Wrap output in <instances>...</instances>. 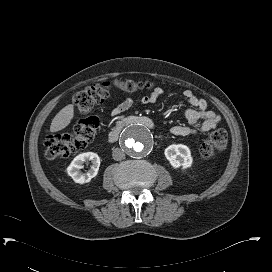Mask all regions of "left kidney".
<instances>
[{
    "instance_id": "1",
    "label": "left kidney",
    "mask_w": 272,
    "mask_h": 272,
    "mask_svg": "<svg viewBox=\"0 0 272 272\" xmlns=\"http://www.w3.org/2000/svg\"><path fill=\"white\" fill-rule=\"evenodd\" d=\"M166 159L173 168L186 169L192 166L193 158L189 147L183 144L169 145L164 151Z\"/></svg>"
}]
</instances>
